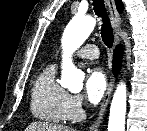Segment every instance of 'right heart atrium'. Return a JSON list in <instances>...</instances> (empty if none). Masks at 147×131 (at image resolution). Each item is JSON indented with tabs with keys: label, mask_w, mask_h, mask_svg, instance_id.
<instances>
[{
	"label": "right heart atrium",
	"mask_w": 147,
	"mask_h": 131,
	"mask_svg": "<svg viewBox=\"0 0 147 131\" xmlns=\"http://www.w3.org/2000/svg\"><path fill=\"white\" fill-rule=\"evenodd\" d=\"M84 112L83 97L79 94H68L64 104V115L66 120H77Z\"/></svg>",
	"instance_id": "1"
}]
</instances>
